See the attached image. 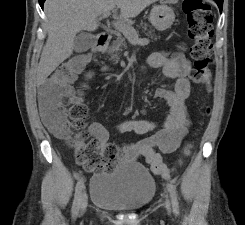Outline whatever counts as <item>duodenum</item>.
Instances as JSON below:
<instances>
[{
	"label": "duodenum",
	"instance_id": "duodenum-1",
	"mask_svg": "<svg viewBox=\"0 0 245 225\" xmlns=\"http://www.w3.org/2000/svg\"><path fill=\"white\" fill-rule=\"evenodd\" d=\"M111 40V35L109 32H100L96 37L95 51L97 53H102L106 50L109 42Z\"/></svg>",
	"mask_w": 245,
	"mask_h": 225
}]
</instances>
